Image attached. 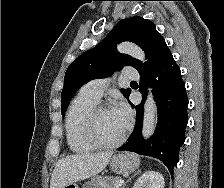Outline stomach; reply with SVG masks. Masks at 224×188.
I'll use <instances>...</instances> for the list:
<instances>
[{"label": "stomach", "instance_id": "stomach-1", "mask_svg": "<svg viewBox=\"0 0 224 188\" xmlns=\"http://www.w3.org/2000/svg\"><path fill=\"white\" fill-rule=\"evenodd\" d=\"M140 165L139 158L133 153H119L111 157L110 167L115 173H130ZM63 188H78L75 183L65 185Z\"/></svg>", "mask_w": 224, "mask_h": 188}]
</instances>
